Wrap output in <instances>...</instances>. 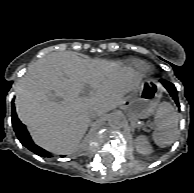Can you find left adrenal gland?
I'll return each mask as SVG.
<instances>
[{
	"mask_svg": "<svg viewBox=\"0 0 194 193\" xmlns=\"http://www.w3.org/2000/svg\"><path fill=\"white\" fill-rule=\"evenodd\" d=\"M132 125H133V126L135 125L134 121H132Z\"/></svg>",
	"mask_w": 194,
	"mask_h": 193,
	"instance_id": "left-adrenal-gland-1",
	"label": "left adrenal gland"
}]
</instances>
